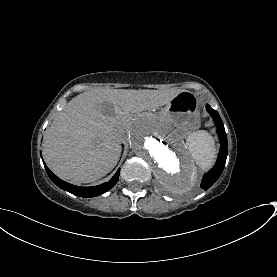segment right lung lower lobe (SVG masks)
<instances>
[{
	"label": "right lung lower lobe",
	"instance_id": "98d812e1",
	"mask_svg": "<svg viewBox=\"0 0 277 277\" xmlns=\"http://www.w3.org/2000/svg\"><path fill=\"white\" fill-rule=\"evenodd\" d=\"M44 166L48 176L58 187L74 195L85 197V198L98 196L110 190L117 183L118 177L120 174V169H119L107 183L94 186V187H78V186L66 183L65 181H62L48 169L45 163H44Z\"/></svg>",
	"mask_w": 277,
	"mask_h": 277
}]
</instances>
